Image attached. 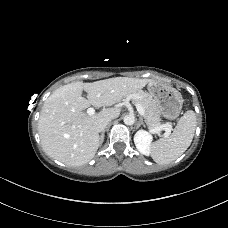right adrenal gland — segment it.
<instances>
[{
  "label": "right adrenal gland",
  "mask_w": 228,
  "mask_h": 228,
  "mask_svg": "<svg viewBox=\"0 0 228 228\" xmlns=\"http://www.w3.org/2000/svg\"><path fill=\"white\" fill-rule=\"evenodd\" d=\"M104 136H105V130H103L101 135H100V145H102V143L104 141Z\"/></svg>",
  "instance_id": "right-adrenal-gland-1"
}]
</instances>
